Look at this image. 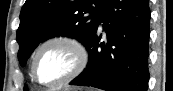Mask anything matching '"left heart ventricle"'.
Listing matches in <instances>:
<instances>
[{
  "mask_svg": "<svg viewBox=\"0 0 173 91\" xmlns=\"http://www.w3.org/2000/svg\"><path fill=\"white\" fill-rule=\"evenodd\" d=\"M75 65V55L62 44L45 48L37 61L36 71L42 82H53L67 75Z\"/></svg>",
  "mask_w": 173,
  "mask_h": 91,
  "instance_id": "b2bd125f",
  "label": "left heart ventricle"
}]
</instances>
